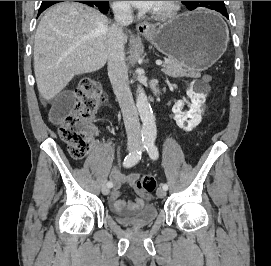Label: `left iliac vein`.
<instances>
[{
    "label": "left iliac vein",
    "instance_id": "left-iliac-vein-1",
    "mask_svg": "<svg viewBox=\"0 0 271 266\" xmlns=\"http://www.w3.org/2000/svg\"><path fill=\"white\" fill-rule=\"evenodd\" d=\"M156 194H157V196H158L159 198H164L165 195H166V190L163 189V188H161V187H159V188L157 189V191H156Z\"/></svg>",
    "mask_w": 271,
    "mask_h": 266
}]
</instances>
